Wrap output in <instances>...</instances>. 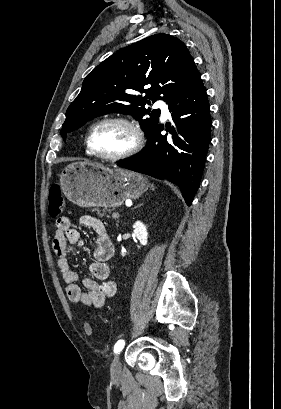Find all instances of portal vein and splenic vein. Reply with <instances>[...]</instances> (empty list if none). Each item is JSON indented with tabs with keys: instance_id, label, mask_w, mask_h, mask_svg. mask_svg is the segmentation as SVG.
I'll use <instances>...</instances> for the list:
<instances>
[{
	"instance_id": "portal-vein-and-splenic-vein-1",
	"label": "portal vein and splenic vein",
	"mask_w": 281,
	"mask_h": 409,
	"mask_svg": "<svg viewBox=\"0 0 281 409\" xmlns=\"http://www.w3.org/2000/svg\"><path fill=\"white\" fill-rule=\"evenodd\" d=\"M111 216L113 217V219H118V217L121 216V213L120 212H112Z\"/></svg>"
}]
</instances>
